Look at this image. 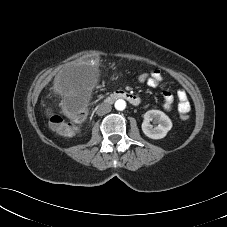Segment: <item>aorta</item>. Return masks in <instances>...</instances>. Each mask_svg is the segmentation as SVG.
<instances>
[{"mask_svg":"<svg viewBox=\"0 0 227 227\" xmlns=\"http://www.w3.org/2000/svg\"><path fill=\"white\" fill-rule=\"evenodd\" d=\"M114 106H115L116 110L122 111V110H124L126 108V102L123 99H118L115 102Z\"/></svg>","mask_w":227,"mask_h":227,"instance_id":"obj_1","label":"aorta"}]
</instances>
